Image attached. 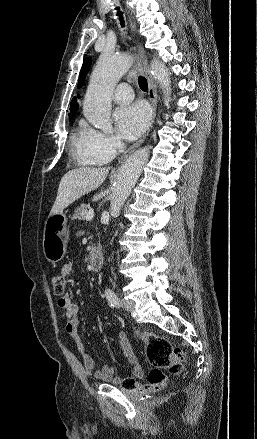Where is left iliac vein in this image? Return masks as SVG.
<instances>
[{
	"instance_id": "1",
	"label": "left iliac vein",
	"mask_w": 257,
	"mask_h": 439,
	"mask_svg": "<svg viewBox=\"0 0 257 439\" xmlns=\"http://www.w3.org/2000/svg\"><path fill=\"white\" fill-rule=\"evenodd\" d=\"M120 304H121L122 308L127 310V311L134 310L135 302L132 300L122 299Z\"/></svg>"
}]
</instances>
